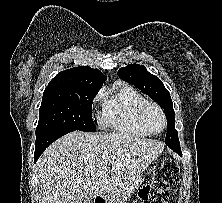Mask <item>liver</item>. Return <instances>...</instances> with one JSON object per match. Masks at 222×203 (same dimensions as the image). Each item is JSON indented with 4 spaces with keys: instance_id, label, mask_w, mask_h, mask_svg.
<instances>
[{
    "instance_id": "liver-1",
    "label": "liver",
    "mask_w": 222,
    "mask_h": 203,
    "mask_svg": "<svg viewBox=\"0 0 222 203\" xmlns=\"http://www.w3.org/2000/svg\"><path fill=\"white\" fill-rule=\"evenodd\" d=\"M163 152V144L127 133L71 132L37 161L41 203L116 197Z\"/></svg>"
}]
</instances>
